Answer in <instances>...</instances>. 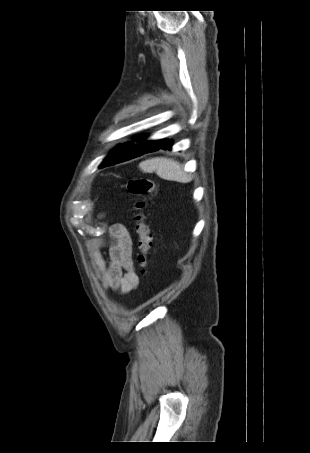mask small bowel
Masks as SVG:
<instances>
[{
    "instance_id": "small-bowel-1",
    "label": "small bowel",
    "mask_w": 310,
    "mask_h": 453,
    "mask_svg": "<svg viewBox=\"0 0 310 453\" xmlns=\"http://www.w3.org/2000/svg\"><path fill=\"white\" fill-rule=\"evenodd\" d=\"M108 234L111 239L108 259L105 258L99 245L91 244L93 262L106 291L129 293L139 284V277L132 261L133 246L130 234L121 223L110 225Z\"/></svg>"
}]
</instances>
